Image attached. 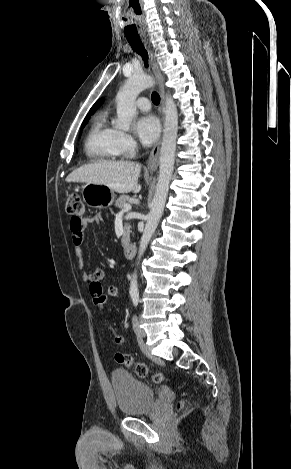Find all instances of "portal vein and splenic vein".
<instances>
[{
    "label": "portal vein and splenic vein",
    "instance_id": "portal-vein-and-splenic-vein-1",
    "mask_svg": "<svg viewBox=\"0 0 291 469\" xmlns=\"http://www.w3.org/2000/svg\"><path fill=\"white\" fill-rule=\"evenodd\" d=\"M129 210H131V205H130V204H126V205L124 206V208L122 209L121 213L128 212Z\"/></svg>",
    "mask_w": 291,
    "mask_h": 469
}]
</instances>
